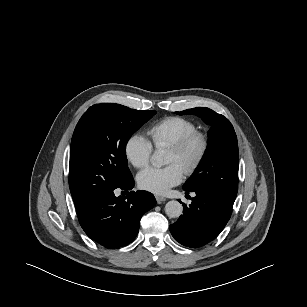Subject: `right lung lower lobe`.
<instances>
[{
  "mask_svg": "<svg viewBox=\"0 0 307 307\" xmlns=\"http://www.w3.org/2000/svg\"><path fill=\"white\" fill-rule=\"evenodd\" d=\"M133 187L134 180L131 177L118 188L128 192ZM115 189L76 207L85 233L107 248L131 243L138 234L141 217L156 204L153 194L147 191H130L126 197H116Z\"/></svg>",
  "mask_w": 307,
  "mask_h": 307,
  "instance_id": "right-lung-lower-lobe-1",
  "label": "right lung lower lobe"
}]
</instances>
